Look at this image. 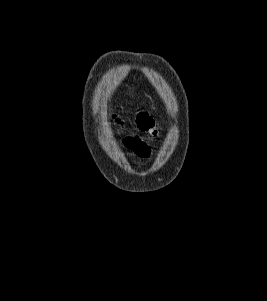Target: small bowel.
<instances>
[{"label":"small bowel","mask_w":267,"mask_h":301,"mask_svg":"<svg viewBox=\"0 0 267 301\" xmlns=\"http://www.w3.org/2000/svg\"><path fill=\"white\" fill-rule=\"evenodd\" d=\"M115 122L119 127L123 126L120 118H115ZM136 125L140 133L148 134L150 137H155L157 134L155 122L147 112L137 114ZM122 143L127 150L138 157L148 158L151 155L150 144L139 134L124 136Z\"/></svg>","instance_id":"c3829d8e"}]
</instances>
